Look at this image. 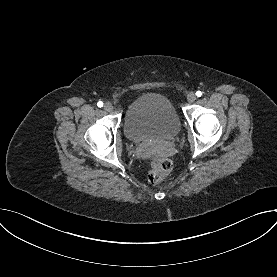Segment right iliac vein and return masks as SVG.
I'll list each match as a JSON object with an SVG mask.
<instances>
[{"mask_svg": "<svg viewBox=\"0 0 277 277\" xmlns=\"http://www.w3.org/2000/svg\"><path fill=\"white\" fill-rule=\"evenodd\" d=\"M104 110L107 112H111L113 110V105L110 102H106L104 104Z\"/></svg>", "mask_w": 277, "mask_h": 277, "instance_id": "obj_1", "label": "right iliac vein"}]
</instances>
